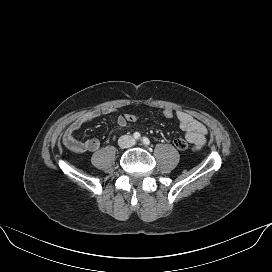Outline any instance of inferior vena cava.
I'll return each instance as SVG.
<instances>
[{"mask_svg":"<svg viewBox=\"0 0 272 272\" xmlns=\"http://www.w3.org/2000/svg\"><path fill=\"white\" fill-rule=\"evenodd\" d=\"M134 138L130 135H123L118 139V145L121 148H129L134 144Z\"/></svg>","mask_w":272,"mask_h":272,"instance_id":"602c4592","label":"inferior vena cava"}]
</instances>
